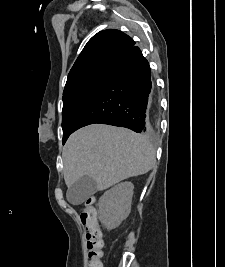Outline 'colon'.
I'll list each match as a JSON object with an SVG mask.
<instances>
[{"instance_id": "5ec220e1", "label": "colon", "mask_w": 225, "mask_h": 267, "mask_svg": "<svg viewBox=\"0 0 225 267\" xmlns=\"http://www.w3.org/2000/svg\"><path fill=\"white\" fill-rule=\"evenodd\" d=\"M80 217L82 223L87 228V267H104L103 258L105 241L103 232L97 222L96 209L92 205L91 201H88L84 204Z\"/></svg>"}]
</instances>
